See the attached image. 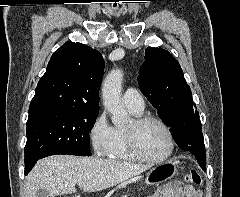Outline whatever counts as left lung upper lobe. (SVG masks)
Instances as JSON below:
<instances>
[{"label":"left lung upper lobe","mask_w":240,"mask_h":197,"mask_svg":"<svg viewBox=\"0 0 240 197\" xmlns=\"http://www.w3.org/2000/svg\"><path fill=\"white\" fill-rule=\"evenodd\" d=\"M138 81L141 92L170 127L179 147L205 161L199 113L179 62L162 48L147 47Z\"/></svg>","instance_id":"1"}]
</instances>
